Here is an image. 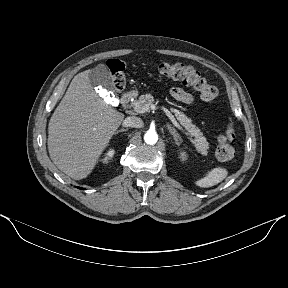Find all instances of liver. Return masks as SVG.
I'll use <instances>...</instances> for the list:
<instances>
[{
  "instance_id": "6515ba94",
  "label": "liver",
  "mask_w": 288,
  "mask_h": 288,
  "mask_svg": "<svg viewBox=\"0 0 288 288\" xmlns=\"http://www.w3.org/2000/svg\"><path fill=\"white\" fill-rule=\"evenodd\" d=\"M89 70L77 74L48 125V151L69 177H87L124 119L93 89Z\"/></svg>"
}]
</instances>
